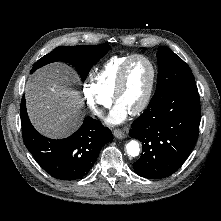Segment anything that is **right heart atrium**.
Wrapping results in <instances>:
<instances>
[{
    "instance_id": "right-heart-atrium-1",
    "label": "right heart atrium",
    "mask_w": 221,
    "mask_h": 221,
    "mask_svg": "<svg viewBox=\"0 0 221 221\" xmlns=\"http://www.w3.org/2000/svg\"><path fill=\"white\" fill-rule=\"evenodd\" d=\"M82 94L87 106L97 117H102L112 104V98L104 95L97 86L90 81H86L82 85Z\"/></svg>"
}]
</instances>
